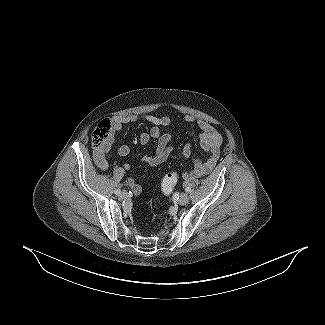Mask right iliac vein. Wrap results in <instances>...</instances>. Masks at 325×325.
Wrapping results in <instances>:
<instances>
[{"instance_id": "1", "label": "right iliac vein", "mask_w": 325, "mask_h": 325, "mask_svg": "<svg viewBox=\"0 0 325 325\" xmlns=\"http://www.w3.org/2000/svg\"><path fill=\"white\" fill-rule=\"evenodd\" d=\"M119 196L121 199H126L128 198V193L126 191H122Z\"/></svg>"}]
</instances>
